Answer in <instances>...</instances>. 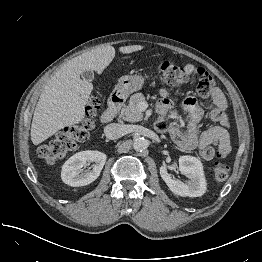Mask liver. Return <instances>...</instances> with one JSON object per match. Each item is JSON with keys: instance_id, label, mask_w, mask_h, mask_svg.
Returning a JSON list of instances; mask_svg holds the SVG:
<instances>
[{"instance_id": "obj_1", "label": "liver", "mask_w": 262, "mask_h": 262, "mask_svg": "<svg viewBox=\"0 0 262 262\" xmlns=\"http://www.w3.org/2000/svg\"><path fill=\"white\" fill-rule=\"evenodd\" d=\"M141 45L122 46L119 51L130 54ZM115 57V48L102 46L77 56L64 64L45 85L36 105L31 125V140L38 145L64 127L85 119V106L93 86L80 75L85 70L101 74Z\"/></svg>"}]
</instances>
